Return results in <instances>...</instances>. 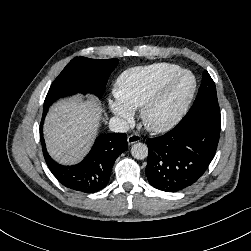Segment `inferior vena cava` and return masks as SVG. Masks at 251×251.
<instances>
[{
  "label": "inferior vena cava",
  "instance_id": "inferior-vena-cava-1",
  "mask_svg": "<svg viewBox=\"0 0 251 251\" xmlns=\"http://www.w3.org/2000/svg\"><path fill=\"white\" fill-rule=\"evenodd\" d=\"M109 128L113 132H127L129 124L126 120L120 117H112L109 121Z\"/></svg>",
  "mask_w": 251,
  "mask_h": 251
}]
</instances>
